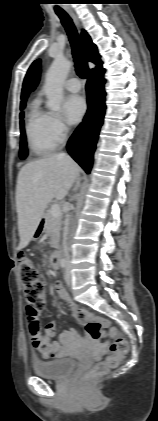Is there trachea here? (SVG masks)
<instances>
[{"mask_svg": "<svg viewBox=\"0 0 158 421\" xmlns=\"http://www.w3.org/2000/svg\"><path fill=\"white\" fill-rule=\"evenodd\" d=\"M57 15L60 18L62 25L64 26L69 37L76 73L81 78L85 79L88 76L89 69L84 51L79 41L76 27L67 13H57Z\"/></svg>", "mask_w": 158, "mask_h": 421, "instance_id": "3493384b", "label": "trachea"}]
</instances>
